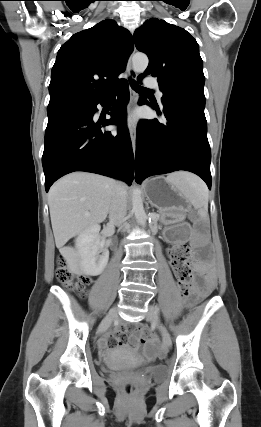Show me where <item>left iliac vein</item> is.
I'll return each mask as SVG.
<instances>
[{"mask_svg": "<svg viewBox=\"0 0 261 427\" xmlns=\"http://www.w3.org/2000/svg\"><path fill=\"white\" fill-rule=\"evenodd\" d=\"M146 318L153 324L155 325L158 330L161 333L162 336V340H163V344L166 348H170L172 345V341H171V337L170 334L168 333L167 329L165 328V326L161 323L158 315H157V310L154 306L150 305L148 308V312L146 314Z\"/></svg>", "mask_w": 261, "mask_h": 427, "instance_id": "4c4485c4", "label": "left iliac vein"}]
</instances>
